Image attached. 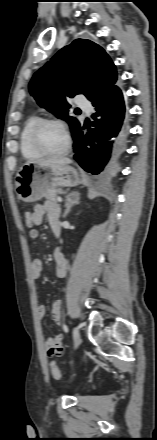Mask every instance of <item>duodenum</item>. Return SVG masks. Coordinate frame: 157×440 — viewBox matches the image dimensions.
Listing matches in <instances>:
<instances>
[{"instance_id":"obj_1","label":"duodenum","mask_w":157,"mask_h":440,"mask_svg":"<svg viewBox=\"0 0 157 440\" xmlns=\"http://www.w3.org/2000/svg\"><path fill=\"white\" fill-rule=\"evenodd\" d=\"M53 232H54L55 236L58 237L60 235V226H59V228H55L53 230Z\"/></svg>"}]
</instances>
